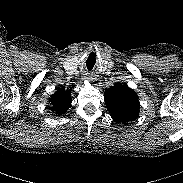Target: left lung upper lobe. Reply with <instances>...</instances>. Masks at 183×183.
Returning a JSON list of instances; mask_svg holds the SVG:
<instances>
[{"label":"left lung upper lobe","mask_w":183,"mask_h":183,"mask_svg":"<svg viewBox=\"0 0 183 183\" xmlns=\"http://www.w3.org/2000/svg\"><path fill=\"white\" fill-rule=\"evenodd\" d=\"M105 104L111 118L117 123L134 121L139 114V101L137 93L126 84H114L105 90Z\"/></svg>","instance_id":"obj_1"}]
</instances>
